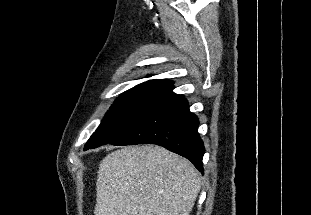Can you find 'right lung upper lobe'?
Masks as SVG:
<instances>
[{
  "label": "right lung upper lobe",
  "mask_w": 311,
  "mask_h": 215,
  "mask_svg": "<svg viewBox=\"0 0 311 215\" xmlns=\"http://www.w3.org/2000/svg\"><path fill=\"white\" fill-rule=\"evenodd\" d=\"M172 81L153 79L139 84L138 86H172Z\"/></svg>",
  "instance_id": "1"
}]
</instances>
